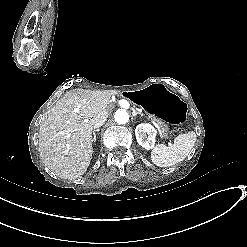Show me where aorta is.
<instances>
[{
	"label": "aorta",
	"mask_w": 247,
	"mask_h": 247,
	"mask_svg": "<svg viewBox=\"0 0 247 247\" xmlns=\"http://www.w3.org/2000/svg\"><path fill=\"white\" fill-rule=\"evenodd\" d=\"M114 118L118 124H126L129 121V114L124 109H118L115 112Z\"/></svg>",
	"instance_id": "aorta-1"
}]
</instances>
